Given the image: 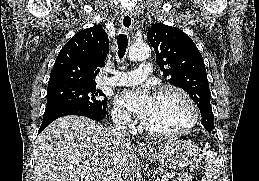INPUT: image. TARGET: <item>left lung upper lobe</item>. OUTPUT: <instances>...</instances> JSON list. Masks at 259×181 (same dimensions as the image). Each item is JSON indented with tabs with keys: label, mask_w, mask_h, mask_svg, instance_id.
<instances>
[{
	"label": "left lung upper lobe",
	"mask_w": 259,
	"mask_h": 181,
	"mask_svg": "<svg viewBox=\"0 0 259 181\" xmlns=\"http://www.w3.org/2000/svg\"><path fill=\"white\" fill-rule=\"evenodd\" d=\"M147 39L155 50L163 76L190 95L200 109L202 125L215 133L207 73L202 55L192 39L180 29L163 23L153 24Z\"/></svg>",
	"instance_id": "obj_1"
}]
</instances>
